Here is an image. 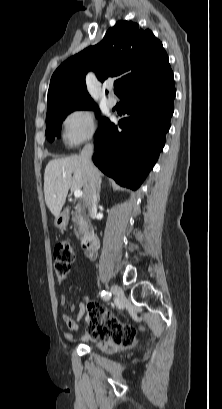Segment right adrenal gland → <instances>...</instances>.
Listing matches in <instances>:
<instances>
[{"instance_id": "2a0ac1e0", "label": "right adrenal gland", "mask_w": 222, "mask_h": 409, "mask_svg": "<svg viewBox=\"0 0 222 409\" xmlns=\"http://www.w3.org/2000/svg\"><path fill=\"white\" fill-rule=\"evenodd\" d=\"M101 183H102V178H99V182H98V191H97L98 201H100Z\"/></svg>"}]
</instances>
